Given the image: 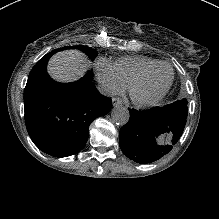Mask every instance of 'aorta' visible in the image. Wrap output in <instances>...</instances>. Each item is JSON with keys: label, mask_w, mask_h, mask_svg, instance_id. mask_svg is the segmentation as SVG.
I'll return each instance as SVG.
<instances>
[{"label": "aorta", "mask_w": 219, "mask_h": 219, "mask_svg": "<svg viewBox=\"0 0 219 219\" xmlns=\"http://www.w3.org/2000/svg\"><path fill=\"white\" fill-rule=\"evenodd\" d=\"M111 119L117 125H125L130 119L129 110L123 105H116L111 111Z\"/></svg>", "instance_id": "1"}]
</instances>
